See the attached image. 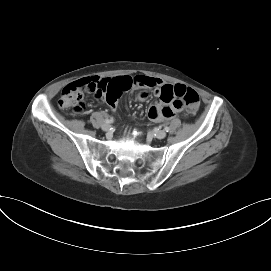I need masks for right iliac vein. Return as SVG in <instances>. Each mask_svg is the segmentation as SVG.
<instances>
[{
  "label": "right iliac vein",
  "mask_w": 271,
  "mask_h": 271,
  "mask_svg": "<svg viewBox=\"0 0 271 271\" xmlns=\"http://www.w3.org/2000/svg\"><path fill=\"white\" fill-rule=\"evenodd\" d=\"M110 128H111L110 124L105 123V124L102 125V130L103 131L107 132V131L110 130Z\"/></svg>",
  "instance_id": "1"
}]
</instances>
